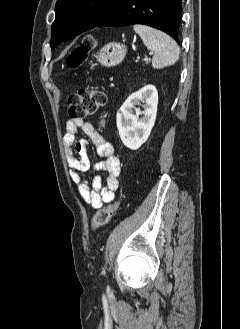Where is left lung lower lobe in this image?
Instances as JSON below:
<instances>
[{
  "mask_svg": "<svg viewBox=\"0 0 240 329\" xmlns=\"http://www.w3.org/2000/svg\"><path fill=\"white\" fill-rule=\"evenodd\" d=\"M182 0H120L96 27L144 24L157 28L179 43Z\"/></svg>",
  "mask_w": 240,
  "mask_h": 329,
  "instance_id": "left-lung-lower-lobe-1",
  "label": "left lung lower lobe"
}]
</instances>
